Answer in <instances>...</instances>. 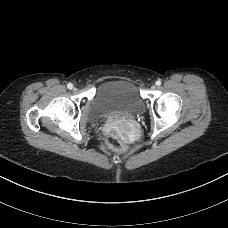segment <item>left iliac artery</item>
Here are the masks:
<instances>
[{"mask_svg": "<svg viewBox=\"0 0 228 228\" xmlns=\"http://www.w3.org/2000/svg\"><path fill=\"white\" fill-rule=\"evenodd\" d=\"M156 85L160 86L161 85V81L160 80L156 81Z\"/></svg>", "mask_w": 228, "mask_h": 228, "instance_id": "obj_1", "label": "left iliac artery"}]
</instances>
